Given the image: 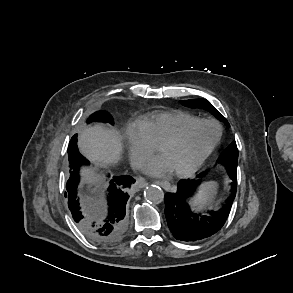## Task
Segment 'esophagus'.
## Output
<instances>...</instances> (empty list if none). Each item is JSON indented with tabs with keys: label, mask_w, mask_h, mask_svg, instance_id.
<instances>
[{
	"label": "esophagus",
	"mask_w": 293,
	"mask_h": 293,
	"mask_svg": "<svg viewBox=\"0 0 293 293\" xmlns=\"http://www.w3.org/2000/svg\"><path fill=\"white\" fill-rule=\"evenodd\" d=\"M136 181L139 188H144L148 184L143 178L140 177L136 178ZM155 183L164 187L169 186V183L165 181H156Z\"/></svg>",
	"instance_id": "esophagus-1"
}]
</instances>
